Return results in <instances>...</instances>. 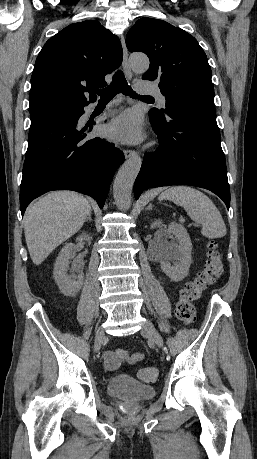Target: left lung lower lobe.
I'll use <instances>...</instances> for the list:
<instances>
[{
    "label": "left lung lower lobe",
    "instance_id": "0a47b994",
    "mask_svg": "<svg viewBox=\"0 0 257 459\" xmlns=\"http://www.w3.org/2000/svg\"><path fill=\"white\" fill-rule=\"evenodd\" d=\"M149 116L159 148L144 156L135 198L147 188L186 184L212 191L229 209L230 189L213 103H186L163 116Z\"/></svg>",
    "mask_w": 257,
    "mask_h": 459
}]
</instances>
